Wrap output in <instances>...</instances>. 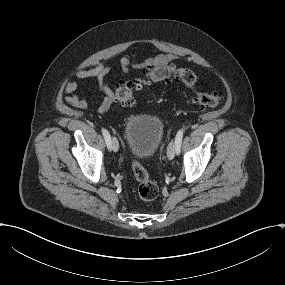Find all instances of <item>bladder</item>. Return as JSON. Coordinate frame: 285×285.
Segmentation results:
<instances>
[{
	"label": "bladder",
	"instance_id": "bladder-1",
	"mask_svg": "<svg viewBox=\"0 0 285 285\" xmlns=\"http://www.w3.org/2000/svg\"><path fill=\"white\" fill-rule=\"evenodd\" d=\"M123 131L129 152L139 158H150L161 143L163 125L151 114H133L126 118Z\"/></svg>",
	"mask_w": 285,
	"mask_h": 285
}]
</instances>
